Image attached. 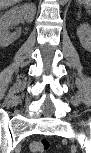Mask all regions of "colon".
Returning <instances> with one entry per match:
<instances>
[{"mask_svg": "<svg viewBox=\"0 0 91 153\" xmlns=\"http://www.w3.org/2000/svg\"><path fill=\"white\" fill-rule=\"evenodd\" d=\"M49 148L50 142L45 138H39L34 140L30 146V150L32 153H45L49 150Z\"/></svg>", "mask_w": 91, "mask_h": 153, "instance_id": "obj_1", "label": "colon"}]
</instances>
